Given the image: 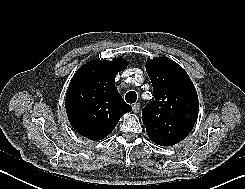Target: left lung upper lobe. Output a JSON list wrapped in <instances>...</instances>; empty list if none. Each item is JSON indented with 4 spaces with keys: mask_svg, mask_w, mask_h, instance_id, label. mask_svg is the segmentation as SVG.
<instances>
[{
    "mask_svg": "<svg viewBox=\"0 0 245 189\" xmlns=\"http://www.w3.org/2000/svg\"><path fill=\"white\" fill-rule=\"evenodd\" d=\"M155 101L142 111L149 138L161 146H172L191 132L199 110L196 89L185 70L168 58L145 63Z\"/></svg>",
    "mask_w": 245,
    "mask_h": 189,
    "instance_id": "left-lung-upper-lobe-1",
    "label": "left lung upper lobe"
}]
</instances>
